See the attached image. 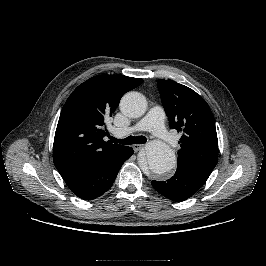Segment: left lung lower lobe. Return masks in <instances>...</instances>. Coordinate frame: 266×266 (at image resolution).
Returning a JSON list of instances; mask_svg holds the SVG:
<instances>
[{
	"instance_id": "1",
	"label": "left lung lower lobe",
	"mask_w": 266,
	"mask_h": 266,
	"mask_svg": "<svg viewBox=\"0 0 266 266\" xmlns=\"http://www.w3.org/2000/svg\"><path fill=\"white\" fill-rule=\"evenodd\" d=\"M206 182L201 178L177 168L175 174L166 181H152L153 188L173 201H184L197 192Z\"/></svg>"
}]
</instances>
